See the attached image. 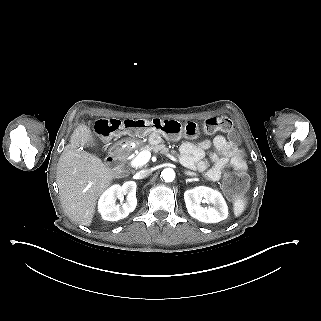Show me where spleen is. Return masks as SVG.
<instances>
[{"mask_svg": "<svg viewBox=\"0 0 321 321\" xmlns=\"http://www.w3.org/2000/svg\"><path fill=\"white\" fill-rule=\"evenodd\" d=\"M246 206V199L243 197L236 198L233 202V212L236 217H239Z\"/></svg>", "mask_w": 321, "mask_h": 321, "instance_id": "obj_1", "label": "spleen"}]
</instances>
